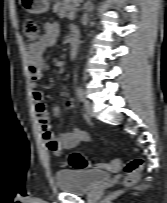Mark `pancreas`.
<instances>
[{
	"mask_svg": "<svg viewBox=\"0 0 167 203\" xmlns=\"http://www.w3.org/2000/svg\"><path fill=\"white\" fill-rule=\"evenodd\" d=\"M82 0H62L53 6V11L61 18L69 17L76 10Z\"/></svg>",
	"mask_w": 167,
	"mask_h": 203,
	"instance_id": "1",
	"label": "pancreas"
}]
</instances>
